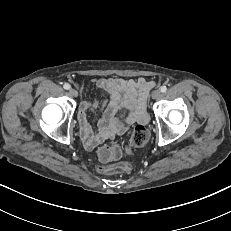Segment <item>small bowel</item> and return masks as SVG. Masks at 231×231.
I'll use <instances>...</instances> for the list:
<instances>
[{
  "instance_id": "c3829d8e",
  "label": "small bowel",
  "mask_w": 231,
  "mask_h": 231,
  "mask_svg": "<svg viewBox=\"0 0 231 231\" xmlns=\"http://www.w3.org/2000/svg\"><path fill=\"white\" fill-rule=\"evenodd\" d=\"M92 85L107 93V99L85 100L81 103L78 113L80 135L84 146L91 150L106 139L122 132L126 126L134 122H146V103L150 90L155 86L153 81L138 79H94ZM101 110L96 119L98 130L94 131L88 120V113ZM124 111L125 116L120 113Z\"/></svg>"
}]
</instances>
